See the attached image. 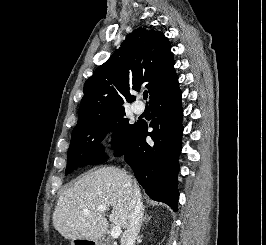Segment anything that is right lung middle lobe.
I'll return each instance as SVG.
<instances>
[{"label":"right lung middle lobe","mask_w":266,"mask_h":245,"mask_svg":"<svg viewBox=\"0 0 266 245\" xmlns=\"http://www.w3.org/2000/svg\"><path fill=\"white\" fill-rule=\"evenodd\" d=\"M124 116L125 110H118L78 121L71 135L65 174L73 172L78 167L104 162L100 143L110 132H113L115 156L122 155L129 147L137 126V123L129 124Z\"/></svg>","instance_id":"right-lung-middle-lobe-1"}]
</instances>
